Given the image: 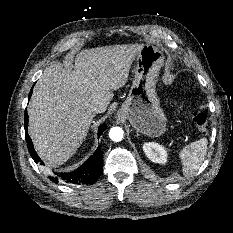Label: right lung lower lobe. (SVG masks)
Listing matches in <instances>:
<instances>
[{"label": "right lung lower lobe", "instance_id": "98d812e1", "mask_svg": "<svg viewBox=\"0 0 233 233\" xmlns=\"http://www.w3.org/2000/svg\"><path fill=\"white\" fill-rule=\"evenodd\" d=\"M33 89V87H32ZM32 90L29 94V99L31 97ZM25 138L27 142L28 149L30 151V155L33 160L38 163L40 161L39 156L36 154L32 141L28 135L27 127H28V114L25 112ZM107 128L105 124L100 126L98 130V138L101 136L103 131ZM102 174V151L100 147L96 149L94 154L77 170L70 173H56L58 177H50L54 182H58V178L64 180L67 183L72 184H93Z\"/></svg>", "mask_w": 233, "mask_h": 233}]
</instances>
